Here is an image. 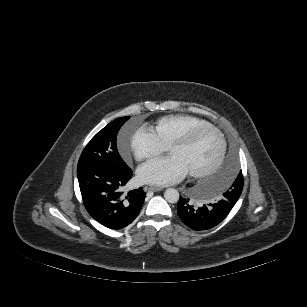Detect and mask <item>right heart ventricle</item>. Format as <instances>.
<instances>
[{"instance_id": "obj_1", "label": "right heart ventricle", "mask_w": 307, "mask_h": 307, "mask_svg": "<svg viewBox=\"0 0 307 307\" xmlns=\"http://www.w3.org/2000/svg\"><path fill=\"white\" fill-rule=\"evenodd\" d=\"M209 124L210 123L207 120L194 115H167L156 121L154 131L160 141L164 145L169 146L174 139L178 138L190 129Z\"/></svg>"}]
</instances>
